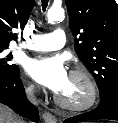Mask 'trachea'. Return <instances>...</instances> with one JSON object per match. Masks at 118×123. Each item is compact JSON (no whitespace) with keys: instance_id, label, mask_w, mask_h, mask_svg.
<instances>
[{"instance_id":"1","label":"trachea","mask_w":118,"mask_h":123,"mask_svg":"<svg viewBox=\"0 0 118 123\" xmlns=\"http://www.w3.org/2000/svg\"><path fill=\"white\" fill-rule=\"evenodd\" d=\"M47 5H48V0H42V9H43V11H45Z\"/></svg>"}]
</instances>
